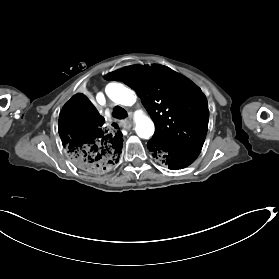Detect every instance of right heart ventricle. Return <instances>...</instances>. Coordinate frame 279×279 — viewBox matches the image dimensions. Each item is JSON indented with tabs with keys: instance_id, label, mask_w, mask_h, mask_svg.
Wrapping results in <instances>:
<instances>
[{
	"instance_id": "obj_1",
	"label": "right heart ventricle",
	"mask_w": 279,
	"mask_h": 279,
	"mask_svg": "<svg viewBox=\"0 0 279 279\" xmlns=\"http://www.w3.org/2000/svg\"><path fill=\"white\" fill-rule=\"evenodd\" d=\"M82 63L83 65L90 67V69L87 72V74H89L88 77L95 76L103 66L102 60H100L98 57L86 58L83 60ZM109 89L115 91V95L112 97L113 101L122 107L127 106L130 103L131 99L133 98V95H135V93L128 90L121 83H116V82L110 83L107 86V90Z\"/></svg>"
}]
</instances>
